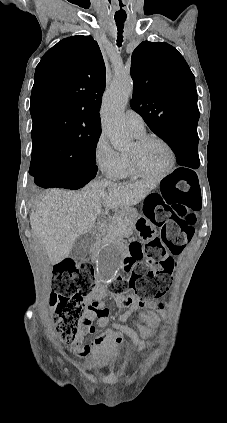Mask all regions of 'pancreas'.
<instances>
[{
  "mask_svg": "<svg viewBox=\"0 0 227 423\" xmlns=\"http://www.w3.org/2000/svg\"><path fill=\"white\" fill-rule=\"evenodd\" d=\"M117 215H120L121 219H111L109 223H101L104 231H106L102 241L107 239H122V237H129L135 229L133 219L128 217L125 210H117Z\"/></svg>",
  "mask_w": 227,
  "mask_h": 423,
  "instance_id": "cf45deb5",
  "label": "pancreas"
}]
</instances>
